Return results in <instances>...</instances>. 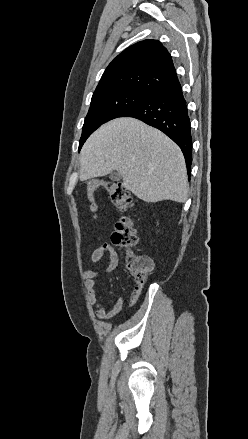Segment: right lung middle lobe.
Instances as JSON below:
<instances>
[{
    "label": "right lung middle lobe",
    "mask_w": 248,
    "mask_h": 439,
    "mask_svg": "<svg viewBox=\"0 0 248 439\" xmlns=\"http://www.w3.org/2000/svg\"><path fill=\"white\" fill-rule=\"evenodd\" d=\"M148 94L137 91H119L91 100L90 109L85 117L79 150L86 139L102 124L120 117L129 109L142 102Z\"/></svg>",
    "instance_id": "obj_1"
}]
</instances>
